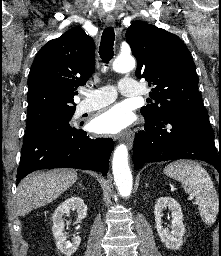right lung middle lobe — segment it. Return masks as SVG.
I'll return each instance as SVG.
<instances>
[{
    "label": "right lung middle lobe",
    "instance_id": "1",
    "mask_svg": "<svg viewBox=\"0 0 221 256\" xmlns=\"http://www.w3.org/2000/svg\"><path fill=\"white\" fill-rule=\"evenodd\" d=\"M75 112L72 108H60L32 112L27 114L26 133L31 132L48 123L71 119Z\"/></svg>",
    "mask_w": 221,
    "mask_h": 256
}]
</instances>
